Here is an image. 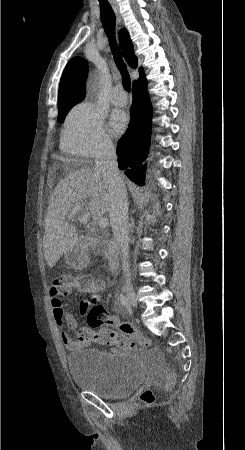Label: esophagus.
I'll list each match as a JSON object with an SVG mask.
<instances>
[{"label":"esophagus","instance_id":"34e87169","mask_svg":"<svg viewBox=\"0 0 245 450\" xmlns=\"http://www.w3.org/2000/svg\"><path fill=\"white\" fill-rule=\"evenodd\" d=\"M112 8H113V10H114V12L116 14L117 19L120 20V14H119L118 5L113 3L112 4Z\"/></svg>","mask_w":245,"mask_h":450}]
</instances>
